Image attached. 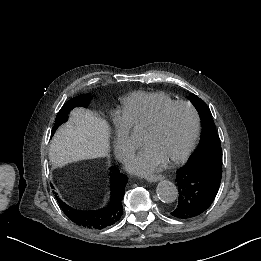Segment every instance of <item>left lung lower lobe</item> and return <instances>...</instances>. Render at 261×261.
I'll use <instances>...</instances> for the list:
<instances>
[{
  "label": "left lung lower lobe",
  "mask_w": 261,
  "mask_h": 261,
  "mask_svg": "<svg viewBox=\"0 0 261 261\" xmlns=\"http://www.w3.org/2000/svg\"><path fill=\"white\" fill-rule=\"evenodd\" d=\"M221 176V162H187L177 171L178 205L170 214L175 218L188 219L204 213L218 193Z\"/></svg>",
  "instance_id": "1"
}]
</instances>
